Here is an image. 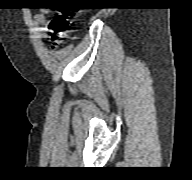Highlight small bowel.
Segmentation results:
<instances>
[{"mask_svg":"<svg viewBox=\"0 0 192 180\" xmlns=\"http://www.w3.org/2000/svg\"><path fill=\"white\" fill-rule=\"evenodd\" d=\"M46 13H47V11H43L42 13H39L35 16V23L39 29H41L40 25L44 24V22H45Z\"/></svg>","mask_w":192,"mask_h":180,"instance_id":"small-bowel-1","label":"small bowel"}]
</instances>
